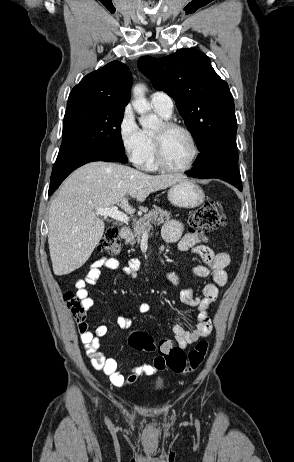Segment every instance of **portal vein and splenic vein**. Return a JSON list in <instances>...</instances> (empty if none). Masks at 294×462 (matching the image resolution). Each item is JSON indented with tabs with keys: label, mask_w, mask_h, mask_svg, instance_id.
Returning <instances> with one entry per match:
<instances>
[{
	"label": "portal vein and splenic vein",
	"mask_w": 294,
	"mask_h": 462,
	"mask_svg": "<svg viewBox=\"0 0 294 462\" xmlns=\"http://www.w3.org/2000/svg\"><path fill=\"white\" fill-rule=\"evenodd\" d=\"M96 214L102 217H110L116 221L128 223L129 217L123 212L119 211L116 206L110 208H98L96 209ZM148 235V231L144 233V236Z\"/></svg>",
	"instance_id": "1"
}]
</instances>
